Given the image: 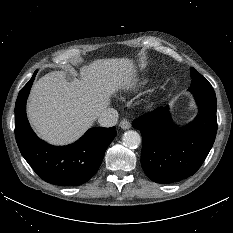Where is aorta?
Masks as SVG:
<instances>
[{"label":"aorta","mask_w":233,"mask_h":233,"mask_svg":"<svg viewBox=\"0 0 233 233\" xmlns=\"http://www.w3.org/2000/svg\"><path fill=\"white\" fill-rule=\"evenodd\" d=\"M123 143L128 148H136L141 143V136L134 130H128L123 135Z\"/></svg>","instance_id":"obj_1"}]
</instances>
